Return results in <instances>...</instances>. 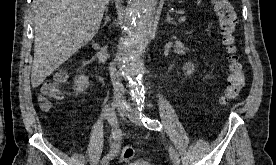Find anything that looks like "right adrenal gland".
Instances as JSON below:
<instances>
[{
	"label": "right adrenal gland",
	"instance_id": "2a0ac1e0",
	"mask_svg": "<svg viewBox=\"0 0 276 165\" xmlns=\"http://www.w3.org/2000/svg\"><path fill=\"white\" fill-rule=\"evenodd\" d=\"M104 20V26L110 21V18L108 16V7L105 9V18Z\"/></svg>",
	"mask_w": 276,
	"mask_h": 165
}]
</instances>
